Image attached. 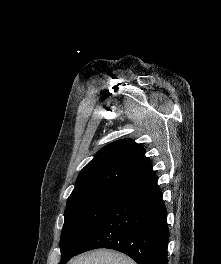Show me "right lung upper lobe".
Instances as JSON below:
<instances>
[{"instance_id":"cb5924a9","label":"right lung upper lobe","mask_w":221,"mask_h":264,"mask_svg":"<svg viewBox=\"0 0 221 264\" xmlns=\"http://www.w3.org/2000/svg\"><path fill=\"white\" fill-rule=\"evenodd\" d=\"M153 174L145 149L131 139L102 148L81 170L71 194L100 186L127 187Z\"/></svg>"}]
</instances>
